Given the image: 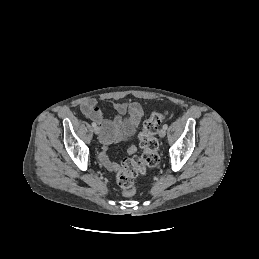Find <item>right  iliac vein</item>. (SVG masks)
<instances>
[{
  "mask_svg": "<svg viewBox=\"0 0 259 259\" xmlns=\"http://www.w3.org/2000/svg\"><path fill=\"white\" fill-rule=\"evenodd\" d=\"M94 133L99 134L100 133V128L99 127H94Z\"/></svg>",
  "mask_w": 259,
  "mask_h": 259,
  "instance_id": "obj_1",
  "label": "right iliac vein"
}]
</instances>
